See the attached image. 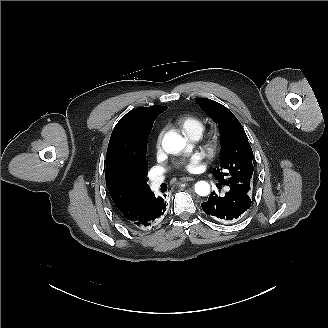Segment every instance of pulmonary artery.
<instances>
[{
    "label": "pulmonary artery",
    "instance_id": "pulmonary-artery-1",
    "mask_svg": "<svg viewBox=\"0 0 328 328\" xmlns=\"http://www.w3.org/2000/svg\"><path fill=\"white\" fill-rule=\"evenodd\" d=\"M162 181L163 178L161 176H153L149 179V184L152 189H155L161 184Z\"/></svg>",
    "mask_w": 328,
    "mask_h": 328
}]
</instances>
